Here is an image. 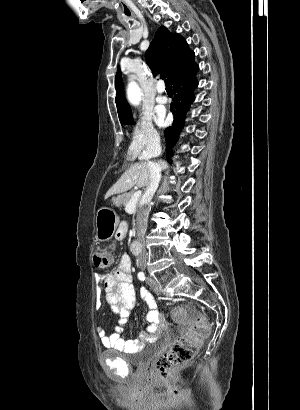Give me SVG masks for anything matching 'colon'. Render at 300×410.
<instances>
[{
	"label": "colon",
	"mask_w": 300,
	"mask_h": 410,
	"mask_svg": "<svg viewBox=\"0 0 300 410\" xmlns=\"http://www.w3.org/2000/svg\"><path fill=\"white\" fill-rule=\"evenodd\" d=\"M93 262L98 269L109 268L113 263L112 250L106 248L95 253ZM172 314L174 322L183 325L185 330L183 335L156 359V372L163 378L169 377L174 370L190 362L210 334L208 322L191 305L176 306L172 309Z\"/></svg>",
	"instance_id": "5ec220e1"
}]
</instances>
